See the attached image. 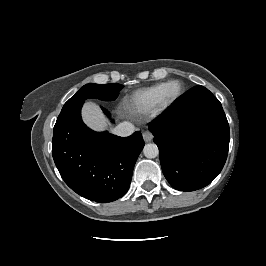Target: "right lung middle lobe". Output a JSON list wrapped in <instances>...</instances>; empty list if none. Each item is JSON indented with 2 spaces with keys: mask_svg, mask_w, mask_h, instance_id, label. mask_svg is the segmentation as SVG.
I'll use <instances>...</instances> for the list:
<instances>
[{
  "mask_svg": "<svg viewBox=\"0 0 266 266\" xmlns=\"http://www.w3.org/2000/svg\"><path fill=\"white\" fill-rule=\"evenodd\" d=\"M123 88V85L118 83L110 84H86L80 90L72 96L63 106L60 115L65 113L70 108L77 104L84 102L86 99H100L105 101H113L118 95L119 91Z\"/></svg>",
  "mask_w": 266,
  "mask_h": 266,
  "instance_id": "1",
  "label": "right lung middle lobe"
}]
</instances>
